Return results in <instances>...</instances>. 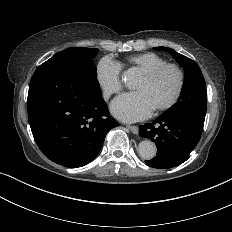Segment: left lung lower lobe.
Segmentation results:
<instances>
[{
  "label": "left lung lower lobe",
  "instance_id": "left-lung-lower-lobe-1",
  "mask_svg": "<svg viewBox=\"0 0 232 232\" xmlns=\"http://www.w3.org/2000/svg\"><path fill=\"white\" fill-rule=\"evenodd\" d=\"M141 137L156 144L157 155L145 160L150 167L167 169L185 162L200 140L203 129L180 117L160 115L152 123L139 126Z\"/></svg>",
  "mask_w": 232,
  "mask_h": 232
}]
</instances>
